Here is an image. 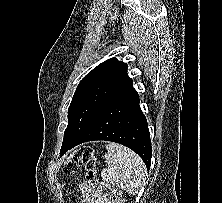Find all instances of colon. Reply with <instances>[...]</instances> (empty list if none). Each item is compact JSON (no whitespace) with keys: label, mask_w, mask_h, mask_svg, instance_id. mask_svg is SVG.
I'll return each instance as SVG.
<instances>
[{"label":"colon","mask_w":222,"mask_h":203,"mask_svg":"<svg viewBox=\"0 0 222 203\" xmlns=\"http://www.w3.org/2000/svg\"><path fill=\"white\" fill-rule=\"evenodd\" d=\"M96 157L91 147H81L74 151L63 165L62 172L64 176H72L79 167L85 169V177L87 181H95L96 178ZM112 203H123L121 192L111 188Z\"/></svg>","instance_id":"colon-1"}]
</instances>
